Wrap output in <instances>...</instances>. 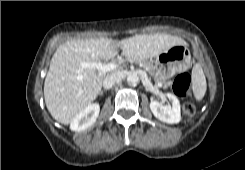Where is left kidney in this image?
<instances>
[{
  "label": "left kidney",
  "instance_id": "1",
  "mask_svg": "<svg viewBox=\"0 0 245 170\" xmlns=\"http://www.w3.org/2000/svg\"><path fill=\"white\" fill-rule=\"evenodd\" d=\"M172 105H163L158 101L150 102L153 115L160 121L168 124H177L181 120L180 103L177 97L171 93L166 94Z\"/></svg>",
  "mask_w": 245,
  "mask_h": 170
}]
</instances>
